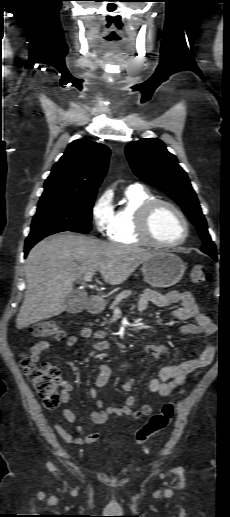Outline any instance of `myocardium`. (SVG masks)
<instances>
[{"label":"myocardium","mask_w":230,"mask_h":517,"mask_svg":"<svg viewBox=\"0 0 230 517\" xmlns=\"http://www.w3.org/2000/svg\"><path fill=\"white\" fill-rule=\"evenodd\" d=\"M159 206H167L171 208L181 219L184 225V234L181 239L171 243H165L157 240L151 229V220L155 210ZM137 228L139 236L152 246L159 248H174L183 244L190 233L189 221L184 212L173 202L164 199H152L144 204L138 213Z\"/></svg>","instance_id":"obj_1"}]
</instances>
